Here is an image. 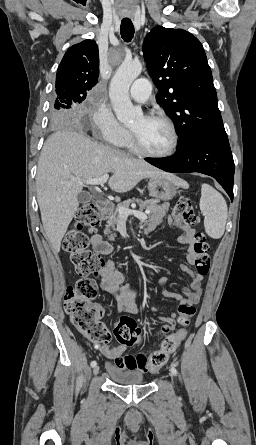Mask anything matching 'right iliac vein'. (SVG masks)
<instances>
[{
	"mask_svg": "<svg viewBox=\"0 0 256 445\" xmlns=\"http://www.w3.org/2000/svg\"><path fill=\"white\" fill-rule=\"evenodd\" d=\"M99 373V366H95L93 369V374L97 375Z\"/></svg>",
	"mask_w": 256,
	"mask_h": 445,
	"instance_id": "63e3f726",
	"label": "right iliac vein"
}]
</instances>
